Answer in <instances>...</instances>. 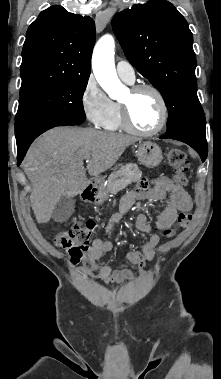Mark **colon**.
<instances>
[{
	"label": "colon",
	"mask_w": 221,
	"mask_h": 379,
	"mask_svg": "<svg viewBox=\"0 0 221 379\" xmlns=\"http://www.w3.org/2000/svg\"><path fill=\"white\" fill-rule=\"evenodd\" d=\"M168 161L174 173V182L184 187L187 184L188 159L184 151L172 148L168 152ZM192 215L190 212H182L178 216V226L186 227L190 224ZM94 228L91 220L71 226L65 231L58 233L55 242L58 246L68 250L70 260L74 265L79 264L85 258L89 249L90 236ZM174 230L166 229L164 235L172 236Z\"/></svg>",
	"instance_id": "obj_1"
}]
</instances>
